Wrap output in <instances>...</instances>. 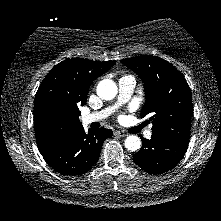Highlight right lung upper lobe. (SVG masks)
I'll return each mask as SVG.
<instances>
[{
	"label": "right lung upper lobe",
	"mask_w": 221,
	"mask_h": 221,
	"mask_svg": "<svg viewBox=\"0 0 221 221\" xmlns=\"http://www.w3.org/2000/svg\"><path fill=\"white\" fill-rule=\"evenodd\" d=\"M115 63L72 58L57 64L47 74L38 88L34 105L35 137L41 154L82 127L78 107L85 105L91 83ZM49 103L58 104L73 115L56 127L46 126L41 120V110Z\"/></svg>",
	"instance_id": "1"
}]
</instances>
